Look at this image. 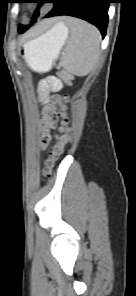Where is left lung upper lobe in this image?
<instances>
[{"label": "left lung upper lobe", "mask_w": 136, "mask_h": 296, "mask_svg": "<svg viewBox=\"0 0 136 296\" xmlns=\"http://www.w3.org/2000/svg\"><path fill=\"white\" fill-rule=\"evenodd\" d=\"M52 0H39L37 3L39 4H43V3H48V2H51ZM39 13H38V10L35 11V14H34V18H33V22L36 20V18L38 17ZM22 28H25L24 26L20 25L19 27V30L22 29Z\"/></svg>", "instance_id": "5c2ea615"}]
</instances>
